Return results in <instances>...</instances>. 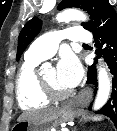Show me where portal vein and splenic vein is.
<instances>
[{
    "mask_svg": "<svg viewBox=\"0 0 117 131\" xmlns=\"http://www.w3.org/2000/svg\"><path fill=\"white\" fill-rule=\"evenodd\" d=\"M63 131H68V129H63Z\"/></svg>",
    "mask_w": 117,
    "mask_h": 131,
    "instance_id": "obj_1",
    "label": "portal vein and splenic vein"
}]
</instances>
